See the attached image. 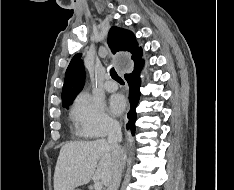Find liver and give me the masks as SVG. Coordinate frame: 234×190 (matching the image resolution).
I'll return each mask as SVG.
<instances>
[{
    "instance_id": "1",
    "label": "liver",
    "mask_w": 234,
    "mask_h": 190,
    "mask_svg": "<svg viewBox=\"0 0 234 190\" xmlns=\"http://www.w3.org/2000/svg\"><path fill=\"white\" fill-rule=\"evenodd\" d=\"M114 161L109 144L104 139L68 142L61 147L54 173V190H74L101 180L108 186Z\"/></svg>"
}]
</instances>
